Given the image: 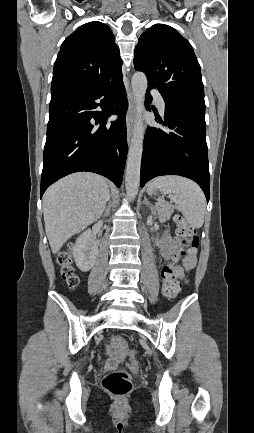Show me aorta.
I'll return each instance as SVG.
<instances>
[{
	"label": "aorta",
	"mask_w": 254,
	"mask_h": 433,
	"mask_svg": "<svg viewBox=\"0 0 254 433\" xmlns=\"http://www.w3.org/2000/svg\"><path fill=\"white\" fill-rule=\"evenodd\" d=\"M132 91L136 108L133 136L128 151L127 167L125 174V188L128 198L133 200L140 185L141 158L143 152V137L145 127L142 120L144 112V99L147 89V77L143 72H135L132 80Z\"/></svg>",
	"instance_id": "1"
}]
</instances>
